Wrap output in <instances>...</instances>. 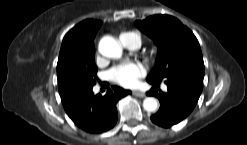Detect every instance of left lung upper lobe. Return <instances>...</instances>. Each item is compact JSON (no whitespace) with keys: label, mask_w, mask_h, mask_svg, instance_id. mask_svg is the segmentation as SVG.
Listing matches in <instances>:
<instances>
[{"label":"left lung upper lobe","mask_w":247,"mask_h":145,"mask_svg":"<svg viewBox=\"0 0 247 145\" xmlns=\"http://www.w3.org/2000/svg\"><path fill=\"white\" fill-rule=\"evenodd\" d=\"M137 27L154 39L159 52L147 80L161 81L182 74L203 80L204 62L198 40L192 31L170 15H153L136 21Z\"/></svg>","instance_id":"1"}]
</instances>
